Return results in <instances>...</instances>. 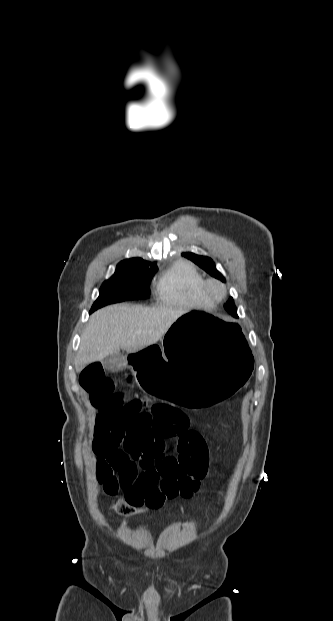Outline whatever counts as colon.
<instances>
[{"instance_id":"5ec220e1","label":"colon","mask_w":333,"mask_h":621,"mask_svg":"<svg viewBox=\"0 0 333 621\" xmlns=\"http://www.w3.org/2000/svg\"><path fill=\"white\" fill-rule=\"evenodd\" d=\"M137 475V467L134 462L128 461L125 463V467L122 470H114L113 468L102 465L97 469V478L103 485L106 493L115 495L120 488L129 487ZM112 508L121 514L132 515L136 514L142 509H134L130 507L122 499L116 501Z\"/></svg>"}]
</instances>
